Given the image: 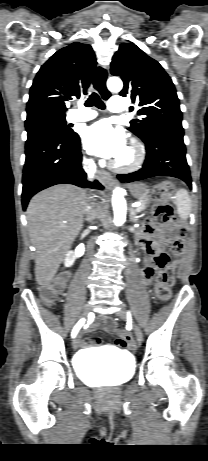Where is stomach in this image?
<instances>
[{
    "mask_svg": "<svg viewBox=\"0 0 208 461\" xmlns=\"http://www.w3.org/2000/svg\"><path fill=\"white\" fill-rule=\"evenodd\" d=\"M129 189H130L131 194L134 197L139 198V199L145 196H148V193H149L148 187L144 183H141V182L131 184L129 186Z\"/></svg>",
    "mask_w": 208,
    "mask_h": 461,
    "instance_id": "0dacf381",
    "label": "stomach"
}]
</instances>
